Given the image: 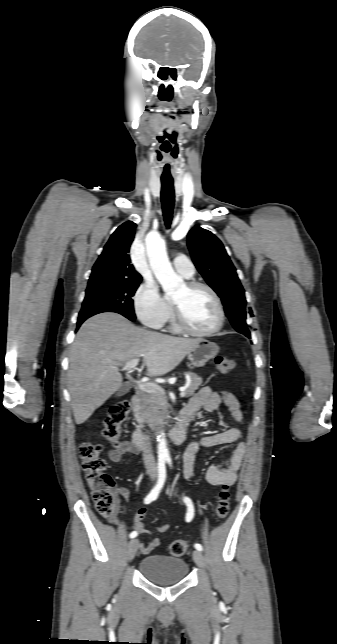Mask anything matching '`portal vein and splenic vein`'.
Returning <instances> with one entry per match:
<instances>
[{
    "mask_svg": "<svg viewBox=\"0 0 337 644\" xmlns=\"http://www.w3.org/2000/svg\"><path fill=\"white\" fill-rule=\"evenodd\" d=\"M138 362H139L138 358L132 359L124 364L123 369L127 370L128 372H131L132 369L138 365ZM136 384L138 388L144 392H147V393L161 392L165 394L163 388H161L157 384L141 382V381H136ZM184 396H185V390H181L180 397H184Z\"/></svg>",
    "mask_w": 337,
    "mask_h": 644,
    "instance_id": "portal-vein-and-splenic-vein-1",
    "label": "portal vein and splenic vein"
}]
</instances>
